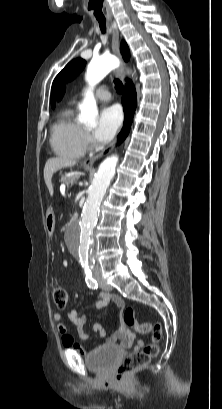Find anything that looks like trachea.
I'll list each match as a JSON object with an SVG mask.
<instances>
[{
    "label": "trachea",
    "instance_id": "1",
    "mask_svg": "<svg viewBox=\"0 0 222 409\" xmlns=\"http://www.w3.org/2000/svg\"><path fill=\"white\" fill-rule=\"evenodd\" d=\"M98 22H99L100 29H101L102 33L104 34V33L106 32V21H105V20H99V19H98ZM114 83H115V88H116L117 92H118L119 94H122V92H123V84H122V82L119 81V79H115V80H114Z\"/></svg>",
    "mask_w": 222,
    "mask_h": 409
}]
</instances>
